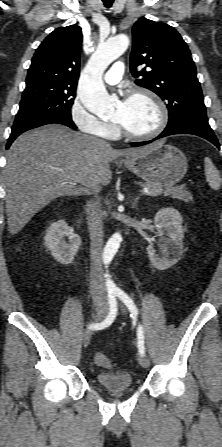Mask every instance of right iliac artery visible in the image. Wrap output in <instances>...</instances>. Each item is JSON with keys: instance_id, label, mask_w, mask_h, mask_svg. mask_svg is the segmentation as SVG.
<instances>
[{"instance_id": "obj_1", "label": "right iliac artery", "mask_w": 222, "mask_h": 447, "mask_svg": "<svg viewBox=\"0 0 222 447\" xmlns=\"http://www.w3.org/2000/svg\"><path fill=\"white\" fill-rule=\"evenodd\" d=\"M108 302H109V313L106 317V319L101 323L91 324L89 326L90 329H103L107 326H109L115 319L117 315V301L115 298V294L109 293L108 295Z\"/></svg>"}]
</instances>
